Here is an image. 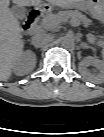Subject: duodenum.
<instances>
[{
	"label": "duodenum",
	"instance_id": "obj_1",
	"mask_svg": "<svg viewBox=\"0 0 104 137\" xmlns=\"http://www.w3.org/2000/svg\"><path fill=\"white\" fill-rule=\"evenodd\" d=\"M49 10L50 8L47 5H41L38 8L30 11L23 26L25 33H28V34L32 33L34 31L35 23L37 19L39 18V16L41 14L47 13Z\"/></svg>",
	"mask_w": 104,
	"mask_h": 137
}]
</instances>
